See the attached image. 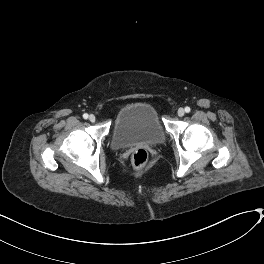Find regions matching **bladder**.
Returning a JSON list of instances; mask_svg holds the SVG:
<instances>
[{
	"mask_svg": "<svg viewBox=\"0 0 264 264\" xmlns=\"http://www.w3.org/2000/svg\"><path fill=\"white\" fill-rule=\"evenodd\" d=\"M165 140V130L155 109L147 103H132L122 108L111 134L114 149L133 145H157Z\"/></svg>",
	"mask_w": 264,
	"mask_h": 264,
	"instance_id": "1",
	"label": "bladder"
}]
</instances>
